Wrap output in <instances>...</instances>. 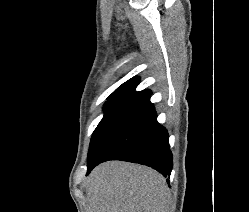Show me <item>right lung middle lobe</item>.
I'll return each mask as SVG.
<instances>
[{"instance_id":"dd1d6c3e","label":"right lung middle lobe","mask_w":249,"mask_h":212,"mask_svg":"<svg viewBox=\"0 0 249 212\" xmlns=\"http://www.w3.org/2000/svg\"><path fill=\"white\" fill-rule=\"evenodd\" d=\"M137 97L124 95H111L108 101L104 104V116L95 131L92 134L90 147L88 151V159L95 150L98 142L106 133L109 126L116 120L122 111Z\"/></svg>"}]
</instances>
